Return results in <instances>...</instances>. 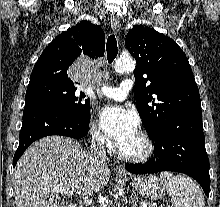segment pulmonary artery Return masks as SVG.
<instances>
[{
  "label": "pulmonary artery",
  "instance_id": "e3ab8cb5",
  "mask_svg": "<svg viewBox=\"0 0 220 207\" xmlns=\"http://www.w3.org/2000/svg\"><path fill=\"white\" fill-rule=\"evenodd\" d=\"M132 87L133 81L130 79H126L121 82L119 87H112L108 85L103 86L101 88V92L107 98L117 101H123L132 90Z\"/></svg>",
  "mask_w": 220,
  "mask_h": 207
}]
</instances>
